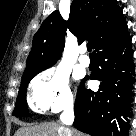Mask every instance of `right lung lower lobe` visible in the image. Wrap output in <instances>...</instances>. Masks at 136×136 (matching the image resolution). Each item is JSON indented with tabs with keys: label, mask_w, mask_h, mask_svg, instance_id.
I'll use <instances>...</instances> for the list:
<instances>
[{
	"label": "right lung lower lobe",
	"mask_w": 136,
	"mask_h": 136,
	"mask_svg": "<svg viewBox=\"0 0 136 136\" xmlns=\"http://www.w3.org/2000/svg\"><path fill=\"white\" fill-rule=\"evenodd\" d=\"M129 34L106 43L95 52L100 67L90 79L101 81L94 92L84 87V78L78 88L75 102L74 126L92 136H128L132 115V61Z\"/></svg>",
	"instance_id": "right-lung-lower-lobe-1"
}]
</instances>
